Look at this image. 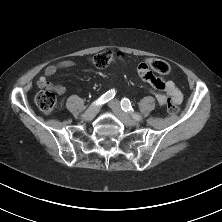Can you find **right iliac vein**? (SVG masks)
Listing matches in <instances>:
<instances>
[{"instance_id": "obj_1", "label": "right iliac vein", "mask_w": 222, "mask_h": 222, "mask_svg": "<svg viewBox=\"0 0 222 222\" xmlns=\"http://www.w3.org/2000/svg\"><path fill=\"white\" fill-rule=\"evenodd\" d=\"M99 111V106L97 104L91 105L82 115V119L85 121H91Z\"/></svg>"}]
</instances>
